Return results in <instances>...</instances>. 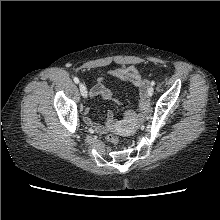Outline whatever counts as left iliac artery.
<instances>
[{
    "label": "left iliac artery",
    "instance_id": "44dca946",
    "mask_svg": "<svg viewBox=\"0 0 220 220\" xmlns=\"http://www.w3.org/2000/svg\"><path fill=\"white\" fill-rule=\"evenodd\" d=\"M151 85L154 86V85H155V81H152V82H151Z\"/></svg>",
    "mask_w": 220,
    "mask_h": 220
}]
</instances>
